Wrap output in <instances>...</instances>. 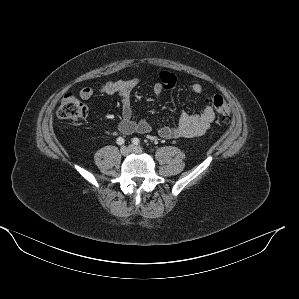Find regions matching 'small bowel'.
<instances>
[{"mask_svg": "<svg viewBox=\"0 0 299 299\" xmlns=\"http://www.w3.org/2000/svg\"><path fill=\"white\" fill-rule=\"evenodd\" d=\"M176 76L168 71L159 73V82L153 85V93L157 96L175 87ZM141 83L138 76H130L126 79L107 82L100 88V92L105 95L118 94L120 96L122 114L118 123V129L122 134H132L134 132L147 134L151 131V126L146 120H135L131 106L132 90ZM190 90L197 99H201L203 86L199 82H192ZM94 95V89L84 87L80 90V97L89 100ZM215 118V112L211 105H205L200 112L188 114L182 112L175 125L161 126L157 133L165 139L194 138L206 132Z\"/></svg>", "mask_w": 299, "mask_h": 299, "instance_id": "obj_1", "label": "small bowel"}]
</instances>
